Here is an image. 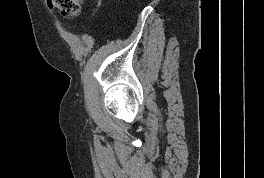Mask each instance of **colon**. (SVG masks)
Wrapping results in <instances>:
<instances>
[{"label": "colon", "instance_id": "obj_1", "mask_svg": "<svg viewBox=\"0 0 264 178\" xmlns=\"http://www.w3.org/2000/svg\"><path fill=\"white\" fill-rule=\"evenodd\" d=\"M50 7L56 8L66 17H74L80 13L83 0H47Z\"/></svg>", "mask_w": 264, "mask_h": 178}]
</instances>
